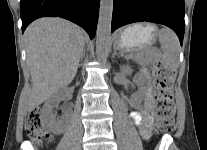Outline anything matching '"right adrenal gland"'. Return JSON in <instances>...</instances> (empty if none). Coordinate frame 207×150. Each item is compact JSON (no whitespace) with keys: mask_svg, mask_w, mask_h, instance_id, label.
Instances as JSON below:
<instances>
[{"mask_svg":"<svg viewBox=\"0 0 207 150\" xmlns=\"http://www.w3.org/2000/svg\"><path fill=\"white\" fill-rule=\"evenodd\" d=\"M84 55H85V48H84L83 51H82V54H81V57H80V61H82Z\"/></svg>","mask_w":207,"mask_h":150,"instance_id":"right-adrenal-gland-1","label":"right adrenal gland"}]
</instances>
